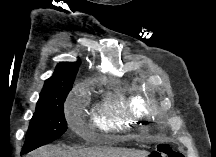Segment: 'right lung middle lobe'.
<instances>
[{"label":"right lung middle lobe","instance_id":"1","mask_svg":"<svg viewBox=\"0 0 216 157\" xmlns=\"http://www.w3.org/2000/svg\"><path fill=\"white\" fill-rule=\"evenodd\" d=\"M70 90L63 89L36 106L21 154L56 140L66 131L63 104Z\"/></svg>","mask_w":216,"mask_h":157}]
</instances>
